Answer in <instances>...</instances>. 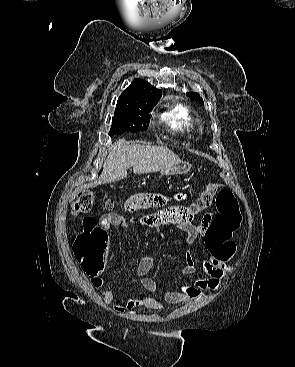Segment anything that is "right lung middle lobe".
<instances>
[{
  "mask_svg": "<svg viewBox=\"0 0 295 367\" xmlns=\"http://www.w3.org/2000/svg\"><path fill=\"white\" fill-rule=\"evenodd\" d=\"M155 105L135 103L124 109H116L109 135H118L125 131L139 132L147 130L150 119L149 112Z\"/></svg>",
  "mask_w": 295,
  "mask_h": 367,
  "instance_id": "right-lung-middle-lobe-1",
  "label": "right lung middle lobe"
}]
</instances>
